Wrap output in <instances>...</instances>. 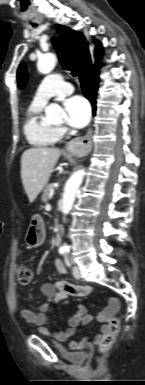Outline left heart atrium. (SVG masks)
<instances>
[{
	"instance_id": "39dd6f15",
	"label": "left heart atrium",
	"mask_w": 145,
	"mask_h": 385,
	"mask_svg": "<svg viewBox=\"0 0 145 385\" xmlns=\"http://www.w3.org/2000/svg\"><path fill=\"white\" fill-rule=\"evenodd\" d=\"M66 122L69 126L79 129L87 125L90 120V106L81 96L75 95L64 101Z\"/></svg>"
}]
</instances>
